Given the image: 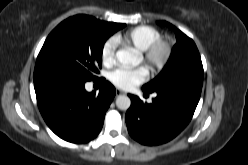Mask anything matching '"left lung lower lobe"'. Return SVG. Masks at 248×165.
Wrapping results in <instances>:
<instances>
[{
    "label": "left lung lower lobe",
    "mask_w": 248,
    "mask_h": 165,
    "mask_svg": "<svg viewBox=\"0 0 248 165\" xmlns=\"http://www.w3.org/2000/svg\"><path fill=\"white\" fill-rule=\"evenodd\" d=\"M156 93L151 104L129 94L131 106L125 116L128 132L144 145L162 144L177 136L190 122L201 90L172 87Z\"/></svg>",
    "instance_id": "1"
}]
</instances>
